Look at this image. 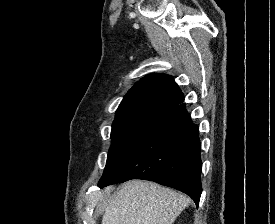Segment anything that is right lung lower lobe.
I'll use <instances>...</instances> for the list:
<instances>
[{
    "mask_svg": "<svg viewBox=\"0 0 275 224\" xmlns=\"http://www.w3.org/2000/svg\"><path fill=\"white\" fill-rule=\"evenodd\" d=\"M199 129L184 104L165 112L115 174L100 188L143 179L175 188L199 205L202 192Z\"/></svg>",
    "mask_w": 275,
    "mask_h": 224,
    "instance_id": "1",
    "label": "right lung lower lobe"
}]
</instances>
